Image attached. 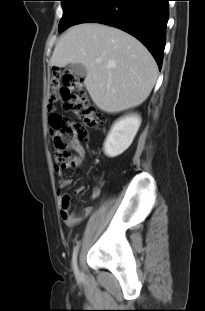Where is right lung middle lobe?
<instances>
[{
    "instance_id": "obj_1",
    "label": "right lung middle lobe",
    "mask_w": 205,
    "mask_h": 311,
    "mask_svg": "<svg viewBox=\"0 0 205 311\" xmlns=\"http://www.w3.org/2000/svg\"><path fill=\"white\" fill-rule=\"evenodd\" d=\"M63 5V16L59 24V32H63L80 17L92 0H60Z\"/></svg>"
}]
</instances>
